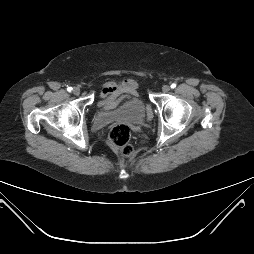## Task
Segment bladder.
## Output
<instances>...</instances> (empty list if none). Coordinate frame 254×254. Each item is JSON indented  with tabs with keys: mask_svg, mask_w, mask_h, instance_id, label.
Returning <instances> with one entry per match:
<instances>
[{
	"mask_svg": "<svg viewBox=\"0 0 254 254\" xmlns=\"http://www.w3.org/2000/svg\"><path fill=\"white\" fill-rule=\"evenodd\" d=\"M146 114V107L142 100L135 99L120 106L116 110L109 112H98L94 117V124L105 125L116 119H126L129 121H140Z\"/></svg>",
	"mask_w": 254,
	"mask_h": 254,
	"instance_id": "1",
	"label": "bladder"
}]
</instances>
